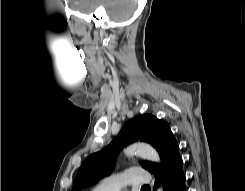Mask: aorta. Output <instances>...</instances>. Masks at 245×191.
<instances>
[{
    "mask_svg": "<svg viewBox=\"0 0 245 191\" xmlns=\"http://www.w3.org/2000/svg\"><path fill=\"white\" fill-rule=\"evenodd\" d=\"M125 155L133 156L137 155L143 159L159 162L160 158L156 150L146 143H134L127 147L124 151ZM158 191H162V188H159Z\"/></svg>",
    "mask_w": 245,
    "mask_h": 191,
    "instance_id": "obj_1",
    "label": "aorta"
}]
</instances>
